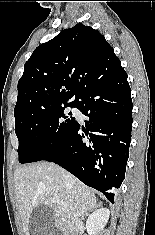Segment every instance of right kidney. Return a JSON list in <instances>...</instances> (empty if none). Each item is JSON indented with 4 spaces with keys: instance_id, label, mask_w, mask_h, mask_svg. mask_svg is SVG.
<instances>
[{
    "instance_id": "1",
    "label": "right kidney",
    "mask_w": 155,
    "mask_h": 235,
    "mask_svg": "<svg viewBox=\"0 0 155 235\" xmlns=\"http://www.w3.org/2000/svg\"><path fill=\"white\" fill-rule=\"evenodd\" d=\"M110 211L107 208H100L89 215L86 221V228L89 235H98L108 222Z\"/></svg>"
}]
</instances>
